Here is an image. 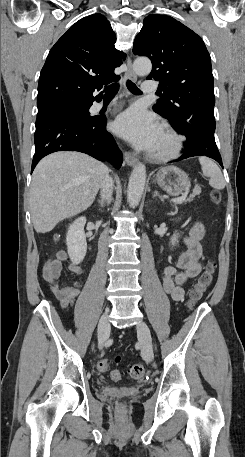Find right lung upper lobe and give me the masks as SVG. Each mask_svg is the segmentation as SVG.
Here are the masks:
<instances>
[{
  "label": "right lung upper lobe",
  "instance_id": "right-lung-upper-lobe-1",
  "mask_svg": "<svg viewBox=\"0 0 245 457\" xmlns=\"http://www.w3.org/2000/svg\"><path fill=\"white\" fill-rule=\"evenodd\" d=\"M115 40L109 21L101 14L75 23L52 47L41 70L38 112L70 101H94L95 89L119 80L114 69L125 54L115 48Z\"/></svg>",
  "mask_w": 245,
  "mask_h": 457
}]
</instances>
